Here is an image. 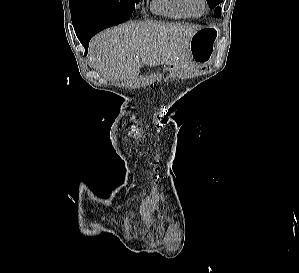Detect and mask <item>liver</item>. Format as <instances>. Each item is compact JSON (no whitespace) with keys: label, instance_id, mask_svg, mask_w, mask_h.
<instances>
[{"label":"liver","instance_id":"liver-1","mask_svg":"<svg viewBox=\"0 0 299 273\" xmlns=\"http://www.w3.org/2000/svg\"><path fill=\"white\" fill-rule=\"evenodd\" d=\"M200 29L180 23H127L96 35L89 54L93 67L111 78H136L148 66H185L191 60L190 40Z\"/></svg>","mask_w":299,"mask_h":273}]
</instances>
